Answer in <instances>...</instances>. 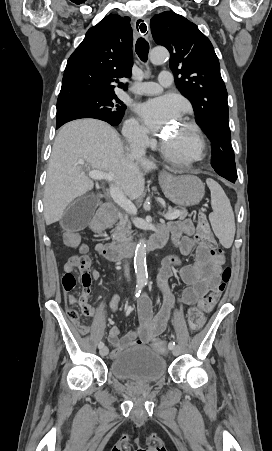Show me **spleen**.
Here are the masks:
<instances>
[{"label": "spleen", "mask_w": 272, "mask_h": 451, "mask_svg": "<svg viewBox=\"0 0 272 451\" xmlns=\"http://www.w3.org/2000/svg\"><path fill=\"white\" fill-rule=\"evenodd\" d=\"M206 184L211 192L212 214H209L210 224L223 247H231L235 235L234 212L223 188L208 178Z\"/></svg>", "instance_id": "obj_1"}]
</instances>
